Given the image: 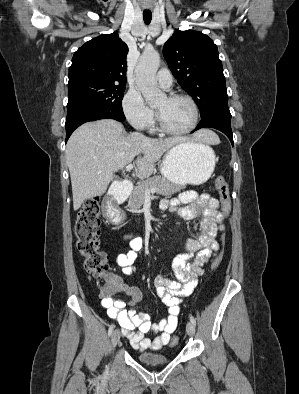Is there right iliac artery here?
<instances>
[{
    "label": "right iliac artery",
    "mask_w": 299,
    "mask_h": 394,
    "mask_svg": "<svg viewBox=\"0 0 299 394\" xmlns=\"http://www.w3.org/2000/svg\"><path fill=\"white\" fill-rule=\"evenodd\" d=\"M114 327H115V325H114V324H112V325H110V326H109V329H108V335H109V336H111V334H112V332H113V329H114Z\"/></svg>",
    "instance_id": "right-iliac-artery-1"
}]
</instances>
